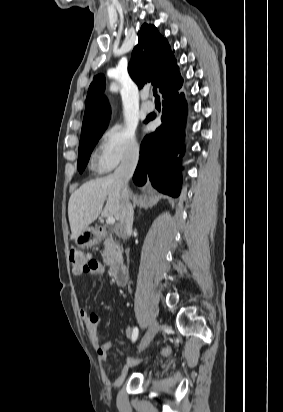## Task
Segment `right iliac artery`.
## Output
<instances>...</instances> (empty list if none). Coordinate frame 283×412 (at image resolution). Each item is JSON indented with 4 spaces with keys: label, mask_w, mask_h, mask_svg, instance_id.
I'll use <instances>...</instances> for the list:
<instances>
[{
    "label": "right iliac artery",
    "mask_w": 283,
    "mask_h": 412,
    "mask_svg": "<svg viewBox=\"0 0 283 412\" xmlns=\"http://www.w3.org/2000/svg\"><path fill=\"white\" fill-rule=\"evenodd\" d=\"M137 338H138V328L135 327V328L133 329L132 342H135V341L137 340Z\"/></svg>",
    "instance_id": "obj_1"
}]
</instances>
